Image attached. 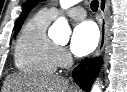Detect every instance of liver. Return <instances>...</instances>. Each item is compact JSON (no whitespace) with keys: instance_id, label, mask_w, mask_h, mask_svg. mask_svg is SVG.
Returning a JSON list of instances; mask_svg holds the SVG:
<instances>
[{"instance_id":"obj_1","label":"liver","mask_w":127,"mask_h":92,"mask_svg":"<svg viewBox=\"0 0 127 92\" xmlns=\"http://www.w3.org/2000/svg\"><path fill=\"white\" fill-rule=\"evenodd\" d=\"M4 92H79L63 77L14 74L5 80Z\"/></svg>"}]
</instances>
